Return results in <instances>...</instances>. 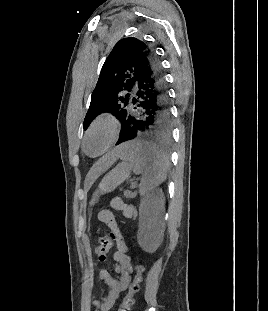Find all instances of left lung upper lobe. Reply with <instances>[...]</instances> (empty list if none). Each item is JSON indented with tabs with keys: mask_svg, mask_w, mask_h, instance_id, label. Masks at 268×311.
Instances as JSON below:
<instances>
[{
	"mask_svg": "<svg viewBox=\"0 0 268 311\" xmlns=\"http://www.w3.org/2000/svg\"><path fill=\"white\" fill-rule=\"evenodd\" d=\"M151 53L150 47L137 38H124L116 43L101 69L92 93L83 123L84 129L103 112L112 113L121 124L124 123L130 111L138 68L141 61Z\"/></svg>",
	"mask_w": 268,
	"mask_h": 311,
	"instance_id": "5c2ea615",
	"label": "left lung upper lobe"
}]
</instances>
